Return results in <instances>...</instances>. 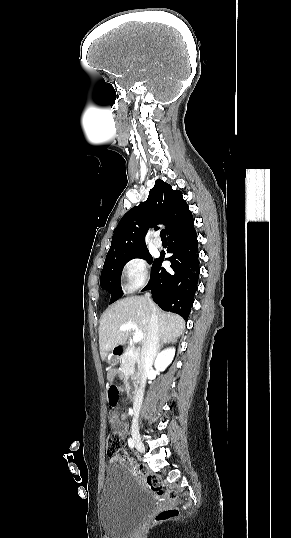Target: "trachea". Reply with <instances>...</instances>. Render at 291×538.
Masks as SVG:
<instances>
[{"instance_id": "trachea-1", "label": "trachea", "mask_w": 291, "mask_h": 538, "mask_svg": "<svg viewBox=\"0 0 291 538\" xmlns=\"http://www.w3.org/2000/svg\"><path fill=\"white\" fill-rule=\"evenodd\" d=\"M160 235H161V239H166V231H165V229L161 230Z\"/></svg>"}]
</instances>
